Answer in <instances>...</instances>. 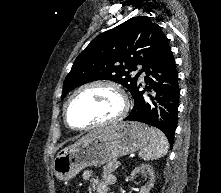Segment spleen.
<instances>
[{
    "label": "spleen",
    "mask_w": 221,
    "mask_h": 193,
    "mask_svg": "<svg viewBox=\"0 0 221 193\" xmlns=\"http://www.w3.org/2000/svg\"><path fill=\"white\" fill-rule=\"evenodd\" d=\"M150 142L139 152V157L144 161L156 160L167 154L169 143L166 136L159 129L150 128Z\"/></svg>",
    "instance_id": "3e777b00"
}]
</instances>
